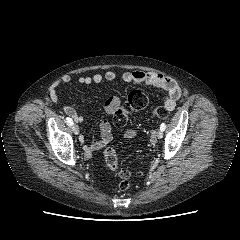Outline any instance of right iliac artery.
Returning <instances> with one entry per match:
<instances>
[{
    "label": "right iliac artery",
    "instance_id": "1",
    "mask_svg": "<svg viewBox=\"0 0 240 240\" xmlns=\"http://www.w3.org/2000/svg\"><path fill=\"white\" fill-rule=\"evenodd\" d=\"M66 123L69 125V126H72L74 123H73V120L71 118H66Z\"/></svg>",
    "mask_w": 240,
    "mask_h": 240
}]
</instances>
